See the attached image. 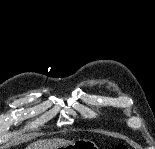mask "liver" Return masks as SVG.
<instances>
[{
	"instance_id": "liver-1",
	"label": "liver",
	"mask_w": 155,
	"mask_h": 149,
	"mask_svg": "<svg viewBox=\"0 0 155 149\" xmlns=\"http://www.w3.org/2000/svg\"><path fill=\"white\" fill-rule=\"evenodd\" d=\"M72 143L69 140L64 139H45V140H38L36 142L31 143L27 146L26 149H58L60 147H64L68 144Z\"/></svg>"
}]
</instances>
